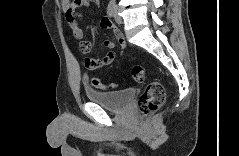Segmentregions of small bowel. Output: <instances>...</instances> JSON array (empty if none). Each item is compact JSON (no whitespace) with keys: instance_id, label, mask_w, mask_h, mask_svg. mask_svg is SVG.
<instances>
[{"instance_id":"obj_1","label":"small bowel","mask_w":239,"mask_h":156,"mask_svg":"<svg viewBox=\"0 0 239 156\" xmlns=\"http://www.w3.org/2000/svg\"><path fill=\"white\" fill-rule=\"evenodd\" d=\"M62 9L65 13L66 21L69 27L72 30L73 36L77 40H81L83 38V31L78 25V17H79V10L84 7H88L90 5L89 0H63L61 2ZM100 27L103 29H113L116 39L122 48L126 47V42L121 34V32L113 27L111 20L108 17H104L100 21ZM104 46L109 49L107 54L101 59H94V58H86L85 59V66L89 70H97L104 66L111 64L115 57V43L110 40L104 41ZM92 49V42L90 41H83L80 43V50L83 53H88Z\"/></svg>"}]
</instances>
